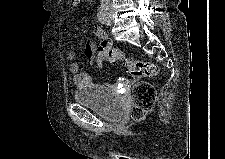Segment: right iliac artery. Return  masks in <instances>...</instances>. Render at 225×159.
I'll use <instances>...</instances> for the list:
<instances>
[{
  "mask_svg": "<svg viewBox=\"0 0 225 159\" xmlns=\"http://www.w3.org/2000/svg\"><path fill=\"white\" fill-rule=\"evenodd\" d=\"M97 18L101 24L105 23L106 19V9L104 7H100L97 12Z\"/></svg>",
  "mask_w": 225,
  "mask_h": 159,
  "instance_id": "1",
  "label": "right iliac artery"
}]
</instances>
